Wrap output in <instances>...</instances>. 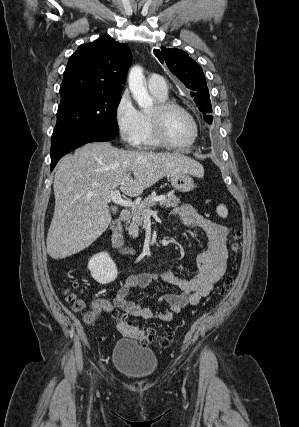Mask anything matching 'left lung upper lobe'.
I'll list each match as a JSON object with an SVG mask.
<instances>
[{
    "label": "left lung upper lobe",
    "mask_w": 299,
    "mask_h": 427,
    "mask_svg": "<svg viewBox=\"0 0 299 427\" xmlns=\"http://www.w3.org/2000/svg\"><path fill=\"white\" fill-rule=\"evenodd\" d=\"M161 63H166L170 71L191 90V96L198 109L205 115L204 120L211 124L213 117L209 90L202 68L188 54L179 49L161 48L155 54Z\"/></svg>",
    "instance_id": "1"
}]
</instances>
